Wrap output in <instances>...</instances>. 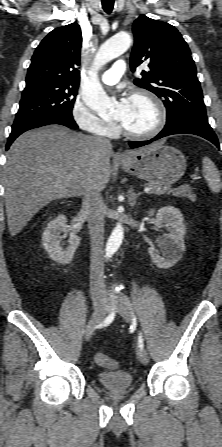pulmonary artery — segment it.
Returning <instances> with one entry per match:
<instances>
[{
    "instance_id": "obj_1",
    "label": "pulmonary artery",
    "mask_w": 222,
    "mask_h": 447,
    "mask_svg": "<svg viewBox=\"0 0 222 447\" xmlns=\"http://www.w3.org/2000/svg\"><path fill=\"white\" fill-rule=\"evenodd\" d=\"M126 64L124 61L120 60L114 63L111 70L106 71L102 75V81L106 85H114L116 84L122 75L125 73Z\"/></svg>"
}]
</instances>
